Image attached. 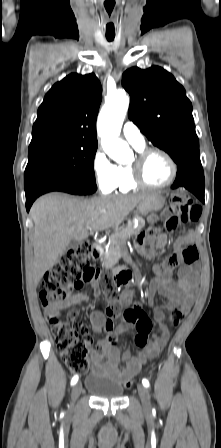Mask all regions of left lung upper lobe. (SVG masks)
Wrapping results in <instances>:
<instances>
[{
  "label": "left lung upper lobe",
  "instance_id": "left-lung-upper-lobe-1",
  "mask_svg": "<svg viewBox=\"0 0 221 448\" xmlns=\"http://www.w3.org/2000/svg\"><path fill=\"white\" fill-rule=\"evenodd\" d=\"M122 85L131 96L128 117L157 147L166 151L178 169L200 164L199 142L186 91L158 66L123 73Z\"/></svg>",
  "mask_w": 221,
  "mask_h": 448
}]
</instances>
